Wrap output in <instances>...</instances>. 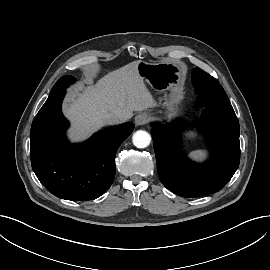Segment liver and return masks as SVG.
<instances>
[{
	"instance_id": "6515ba94",
	"label": "liver",
	"mask_w": 270,
	"mask_h": 270,
	"mask_svg": "<svg viewBox=\"0 0 270 270\" xmlns=\"http://www.w3.org/2000/svg\"><path fill=\"white\" fill-rule=\"evenodd\" d=\"M133 61L109 72L96 84L83 87L70 94L64 106L66 116L73 122L72 137L80 139L109 124L112 113L127 115L156 106L137 66Z\"/></svg>"
}]
</instances>
